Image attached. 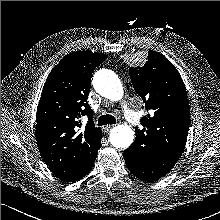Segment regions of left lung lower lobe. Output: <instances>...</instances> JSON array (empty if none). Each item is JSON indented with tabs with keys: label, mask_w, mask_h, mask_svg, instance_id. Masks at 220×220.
Segmentation results:
<instances>
[{
	"label": "left lung lower lobe",
	"mask_w": 220,
	"mask_h": 220,
	"mask_svg": "<svg viewBox=\"0 0 220 220\" xmlns=\"http://www.w3.org/2000/svg\"><path fill=\"white\" fill-rule=\"evenodd\" d=\"M128 170L137 178L154 182L166 175L176 164V160L153 148L141 147L138 140L124 151Z\"/></svg>",
	"instance_id": "0a47b994"
}]
</instances>
